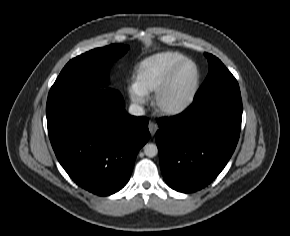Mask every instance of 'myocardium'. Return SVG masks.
<instances>
[{"instance_id": "1", "label": "myocardium", "mask_w": 290, "mask_h": 236, "mask_svg": "<svg viewBox=\"0 0 290 236\" xmlns=\"http://www.w3.org/2000/svg\"><path fill=\"white\" fill-rule=\"evenodd\" d=\"M187 64H191L194 66L195 69V80L193 84V88L189 95L180 103L175 105H165L162 103V97L167 92V90L170 88L174 78L178 74V72ZM200 83H201V73L199 66L197 63L191 59L185 58L181 62H179L177 65L174 66V68L169 73L168 77L164 81V83L159 86L153 96H152V105L155 109V111L163 116H174L178 115L182 112H184L186 109H188L193 101L195 100L198 91L200 89Z\"/></svg>"}]
</instances>
